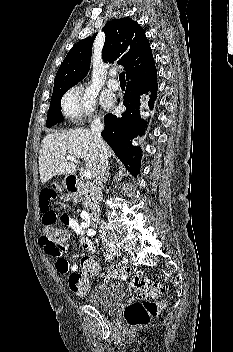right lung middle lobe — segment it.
Here are the masks:
<instances>
[{
  "label": "right lung middle lobe",
  "mask_w": 233,
  "mask_h": 352,
  "mask_svg": "<svg viewBox=\"0 0 233 352\" xmlns=\"http://www.w3.org/2000/svg\"><path fill=\"white\" fill-rule=\"evenodd\" d=\"M74 85L58 86L53 88L51 103L48 111L46 125L51 127L62 120L61 115V99L65 92Z\"/></svg>",
  "instance_id": "1"
}]
</instances>
